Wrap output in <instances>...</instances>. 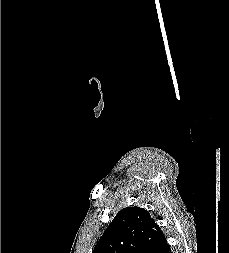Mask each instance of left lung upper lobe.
<instances>
[{
    "label": "left lung upper lobe",
    "mask_w": 229,
    "mask_h": 253,
    "mask_svg": "<svg viewBox=\"0 0 229 253\" xmlns=\"http://www.w3.org/2000/svg\"><path fill=\"white\" fill-rule=\"evenodd\" d=\"M164 238L147 210L127 207L118 212L92 253H155Z\"/></svg>",
    "instance_id": "obj_1"
}]
</instances>
